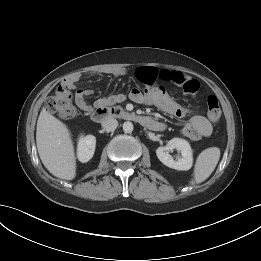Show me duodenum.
Segmentation results:
<instances>
[{
	"label": "duodenum",
	"mask_w": 261,
	"mask_h": 261,
	"mask_svg": "<svg viewBox=\"0 0 261 261\" xmlns=\"http://www.w3.org/2000/svg\"><path fill=\"white\" fill-rule=\"evenodd\" d=\"M110 116H120L124 119L136 121L150 130L160 131L164 128L163 124L155 121L149 116L137 115L131 112L121 111L117 107L102 105L97 108L92 114L93 120L97 122H101Z\"/></svg>",
	"instance_id": "duodenum-1"
}]
</instances>
